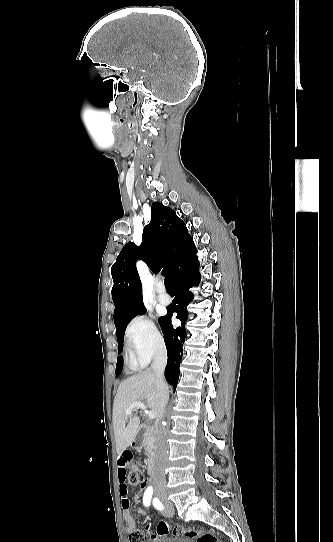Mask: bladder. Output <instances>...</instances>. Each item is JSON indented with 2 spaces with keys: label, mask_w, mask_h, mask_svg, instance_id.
Segmentation results:
<instances>
[{
  "label": "bladder",
  "mask_w": 333,
  "mask_h": 542,
  "mask_svg": "<svg viewBox=\"0 0 333 542\" xmlns=\"http://www.w3.org/2000/svg\"><path fill=\"white\" fill-rule=\"evenodd\" d=\"M163 542H195V540L184 536L172 535L168 536Z\"/></svg>",
  "instance_id": "1"
}]
</instances>
